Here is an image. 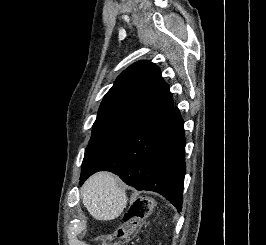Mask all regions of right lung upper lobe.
<instances>
[{"instance_id":"cb5924a9","label":"right lung upper lobe","mask_w":266,"mask_h":245,"mask_svg":"<svg viewBox=\"0 0 266 245\" xmlns=\"http://www.w3.org/2000/svg\"><path fill=\"white\" fill-rule=\"evenodd\" d=\"M173 106L169 86L160 69L149 61L128 67L116 79L101 102L98 116L145 120Z\"/></svg>"}]
</instances>
